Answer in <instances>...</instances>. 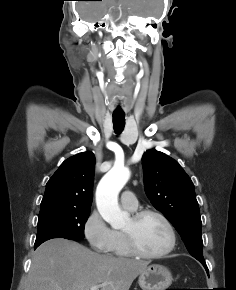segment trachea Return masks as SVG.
Segmentation results:
<instances>
[{
  "label": "trachea",
  "mask_w": 236,
  "mask_h": 290,
  "mask_svg": "<svg viewBox=\"0 0 236 290\" xmlns=\"http://www.w3.org/2000/svg\"><path fill=\"white\" fill-rule=\"evenodd\" d=\"M125 126V115L123 113H113V128L116 134H120Z\"/></svg>",
  "instance_id": "3493384b"
}]
</instances>
